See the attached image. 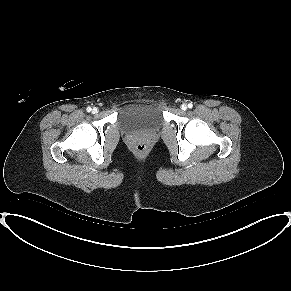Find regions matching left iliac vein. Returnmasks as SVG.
Here are the masks:
<instances>
[{"label": "left iliac vein", "instance_id": "4c4485c4", "mask_svg": "<svg viewBox=\"0 0 291 291\" xmlns=\"http://www.w3.org/2000/svg\"><path fill=\"white\" fill-rule=\"evenodd\" d=\"M181 109H182V110H186V109H187V105H186V104H183V105L181 106Z\"/></svg>", "mask_w": 291, "mask_h": 291}]
</instances>
